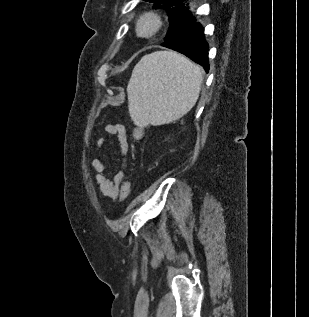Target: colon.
I'll return each mask as SVG.
<instances>
[{
  "instance_id": "colon-1",
  "label": "colon",
  "mask_w": 309,
  "mask_h": 317,
  "mask_svg": "<svg viewBox=\"0 0 309 317\" xmlns=\"http://www.w3.org/2000/svg\"><path fill=\"white\" fill-rule=\"evenodd\" d=\"M143 136V130L140 128H136L133 131V138L135 140H140ZM130 191H131V185L130 182L128 180H126L121 187V198L122 200H126L129 195H130Z\"/></svg>"
}]
</instances>
